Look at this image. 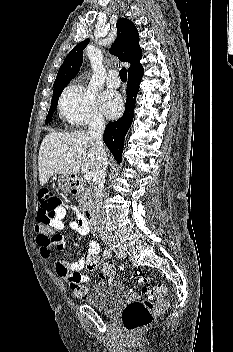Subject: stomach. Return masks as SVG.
<instances>
[{
	"instance_id": "stomach-1",
	"label": "stomach",
	"mask_w": 233,
	"mask_h": 352,
	"mask_svg": "<svg viewBox=\"0 0 233 352\" xmlns=\"http://www.w3.org/2000/svg\"><path fill=\"white\" fill-rule=\"evenodd\" d=\"M58 186L64 192L71 191V178L70 176L62 175L58 179Z\"/></svg>"
}]
</instances>
